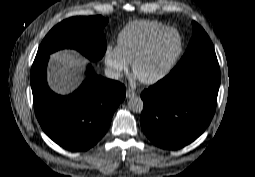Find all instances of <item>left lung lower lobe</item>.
<instances>
[{"instance_id": "obj_1", "label": "left lung lower lobe", "mask_w": 255, "mask_h": 177, "mask_svg": "<svg viewBox=\"0 0 255 177\" xmlns=\"http://www.w3.org/2000/svg\"><path fill=\"white\" fill-rule=\"evenodd\" d=\"M219 85L218 61L196 62L171 72L141 94L143 132L164 149L191 143L214 115Z\"/></svg>"}]
</instances>
